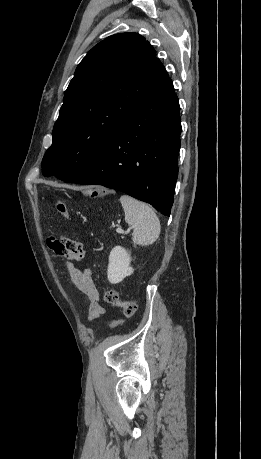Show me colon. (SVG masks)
<instances>
[{"mask_svg": "<svg viewBox=\"0 0 261 459\" xmlns=\"http://www.w3.org/2000/svg\"><path fill=\"white\" fill-rule=\"evenodd\" d=\"M79 194H83V191H79ZM86 195L88 197H98L100 195L99 191H95L93 188H88L86 190ZM55 207L57 211L65 218L69 217V211L67 208V205L65 204L64 201L57 200L55 202ZM104 300L106 303L119 307L123 311V318L121 319H116L111 322L112 327H116L119 324L123 323L126 319L131 318L137 310V304L133 301H122L119 298V294L116 290L113 289H104Z\"/></svg>", "mask_w": 261, "mask_h": 459, "instance_id": "colon-1", "label": "colon"}]
</instances>
